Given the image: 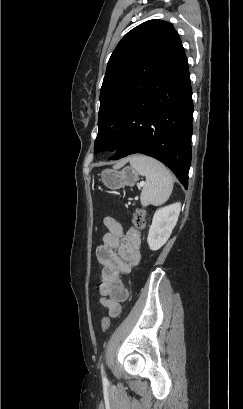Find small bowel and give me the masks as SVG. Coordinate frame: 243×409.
<instances>
[{"label":"small bowel","instance_id":"1","mask_svg":"<svg viewBox=\"0 0 243 409\" xmlns=\"http://www.w3.org/2000/svg\"><path fill=\"white\" fill-rule=\"evenodd\" d=\"M104 224L108 231L96 250L102 265L100 303L116 316L121 310L120 303L128 298L121 274H129L139 263L141 235L134 229L125 233L121 223L113 217L105 218Z\"/></svg>","mask_w":243,"mask_h":409}]
</instances>
